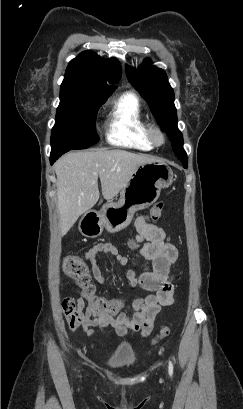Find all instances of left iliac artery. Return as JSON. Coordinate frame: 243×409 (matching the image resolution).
Here are the masks:
<instances>
[{
	"label": "left iliac artery",
	"instance_id": "left-iliac-artery-1",
	"mask_svg": "<svg viewBox=\"0 0 243 409\" xmlns=\"http://www.w3.org/2000/svg\"><path fill=\"white\" fill-rule=\"evenodd\" d=\"M169 374H170V376H172V374H173V364H172L171 361H169Z\"/></svg>",
	"mask_w": 243,
	"mask_h": 409
}]
</instances>
